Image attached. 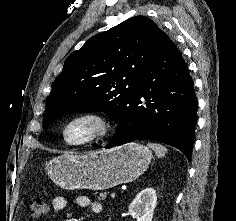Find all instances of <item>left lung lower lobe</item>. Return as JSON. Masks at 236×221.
<instances>
[{"mask_svg": "<svg viewBox=\"0 0 236 221\" xmlns=\"http://www.w3.org/2000/svg\"><path fill=\"white\" fill-rule=\"evenodd\" d=\"M145 98V105L141 104ZM197 98L181 52L167 36L144 69L118 121L110 148L134 140H154L190 159L197 123Z\"/></svg>", "mask_w": 236, "mask_h": 221, "instance_id": "left-lung-lower-lobe-1", "label": "left lung lower lobe"}]
</instances>
